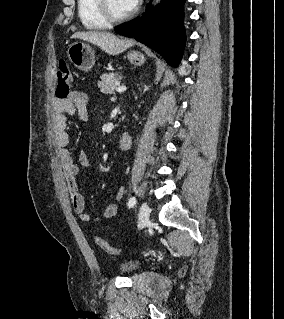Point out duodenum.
Here are the masks:
<instances>
[{
    "mask_svg": "<svg viewBox=\"0 0 284 319\" xmlns=\"http://www.w3.org/2000/svg\"><path fill=\"white\" fill-rule=\"evenodd\" d=\"M132 144V136L129 133H125L122 135L121 139L118 143V148L120 150H128Z\"/></svg>",
    "mask_w": 284,
    "mask_h": 319,
    "instance_id": "obj_1",
    "label": "duodenum"
}]
</instances>
